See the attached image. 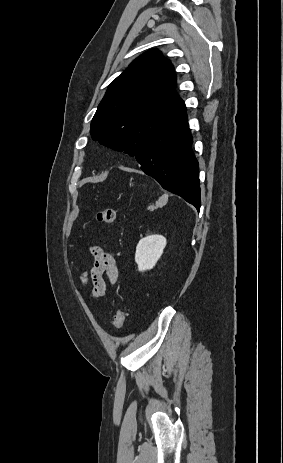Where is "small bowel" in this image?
<instances>
[{
	"instance_id": "c3829d8e",
	"label": "small bowel",
	"mask_w": 283,
	"mask_h": 463,
	"mask_svg": "<svg viewBox=\"0 0 283 463\" xmlns=\"http://www.w3.org/2000/svg\"><path fill=\"white\" fill-rule=\"evenodd\" d=\"M89 251L93 256L94 262L89 271L82 273L81 283L85 287L91 283V296L93 298H100L105 295L108 284L114 286L117 283L119 276L118 268L113 253L99 246H93Z\"/></svg>"
}]
</instances>
